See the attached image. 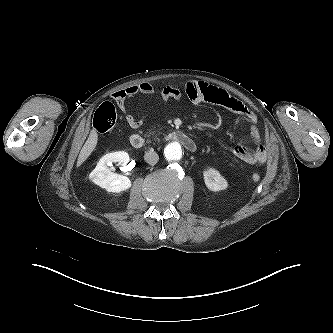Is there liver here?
Wrapping results in <instances>:
<instances>
[{
    "instance_id": "liver-1",
    "label": "liver",
    "mask_w": 333,
    "mask_h": 333,
    "mask_svg": "<svg viewBox=\"0 0 333 333\" xmlns=\"http://www.w3.org/2000/svg\"><path fill=\"white\" fill-rule=\"evenodd\" d=\"M98 141V134L93 129L91 130L88 139L86 140L84 146L82 147L78 160H77V167L81 166L83 162L86 161V159L91 155L93 150L95 149Z\"/></svg>"
}]
</instances>
